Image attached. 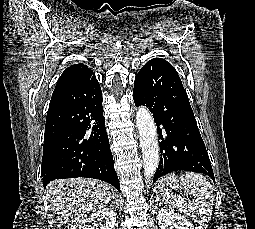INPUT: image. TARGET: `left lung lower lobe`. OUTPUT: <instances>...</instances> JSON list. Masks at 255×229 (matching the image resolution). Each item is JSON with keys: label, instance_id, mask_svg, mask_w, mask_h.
Instances as JSON below:
<instances>
[{"label": "left lung lower lobe", "instance_id": "0a47b994", "mask_svg": "<svg viewBox=\"0 0 255 229\" xmlns=\"http://www.w3.org/2000/svg\"><path fill=\"white\" fill-rule=\"evenodd\" d=\"M133 98L153 113L161 158L153 182L178 170L214 174L206 147L175 68L162 58L148 61L135 77Z\"/></svg>", "mask_w": 255, "mask_h": 229}]
</instances>
